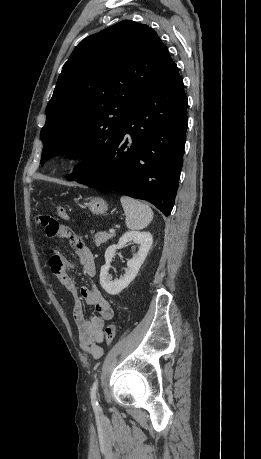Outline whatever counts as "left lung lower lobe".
Listing matches in <instances>:
<instances>
[{
    "label": "left lung lower lobe",
    "instance_id": "1",
    "mask_svg": "<svg viewBox=\"0 0 261 459\" xmlns=\"http://www.w3.org/2000/svg\"><path fill=\"white\" fill-rule=\"evenodd\" d=\"M187 97L176 64L133 110L100 166L68 180L150 201L168 216L183 164Z\"/></svg>",
    "mask_w": 261,
    "mask_h": 459
}]
</instances>
